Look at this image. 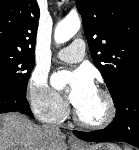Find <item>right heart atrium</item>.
<instances>
[{
	"instance_id": "1",
	"label": "right heart atrium",
	"mask_w": 139,
	"mask_h": 150,
	"mask_svg": "<svg viewBox=\"0 0 139 150\" xmlns=\"http://www.w3.org/2000/svg\"><path fill=\"white\" fill-rule=\"evenodd\" d=\"M28 101L33 113L42 121H61L68 112L67 104L51 90L41 70L33 71L30 77Z\"/></svg>"
}]
</instances>
